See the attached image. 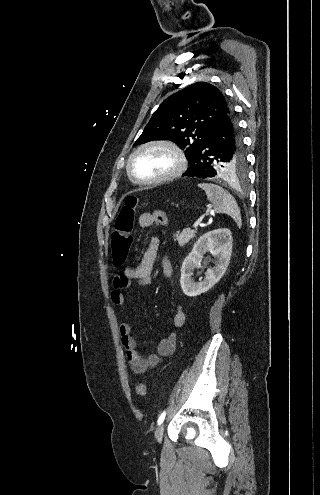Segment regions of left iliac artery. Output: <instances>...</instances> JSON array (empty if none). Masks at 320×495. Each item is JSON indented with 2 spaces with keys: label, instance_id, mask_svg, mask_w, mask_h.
I'll list each match as a JSON object with an SVG mask.
<instances>
[{
  "label": "left iliac artery",
  "instance_id": "left-iliac-artery-1",
  "mask_svg": "<svg viewBox=\"0 0 320 495\" xmlns=\"http://www.w3.org/2000/svg\"><path fill=\"white\" fill-rule=\"evenodd\" d=\"M165 415H166V411L164 410L158 418V425H160L164 421Z\"/></svg>",
  "mask_w": 320,
  "mask_h": 495
}]
</instances>
